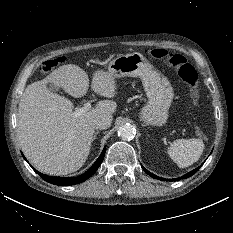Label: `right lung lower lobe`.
Instances as JSON below:
<instances>
[{
    "label": "right lung lower lobe",
    "instance_id": "right-lung-lower-lobe-1",
    "mask_svg": "<svg viewBox=\"0 0 233 233\" xmlns=\"http://www.w3.org/2000/svg\"><path fill=\"white\" fill-rule=\"evenodd\" d=\"M105 151H106V147H104V149H103L100 157L96 160V162L83 175L75 177V178H69V177H50V176H47L45 174H41V173H39L37 171L36 172L45 181H47V182H49L51 184L62 185V186H65V185H75L77 183L85 181L86 179H88L89 177H91L96 172V170L99 168V166L102 163V160H103L104 155H105ZM24 159H25V157H24Z\"/></svg>",
    "mask_w": 233,
    "mask_h": 233
}]
</instances>
